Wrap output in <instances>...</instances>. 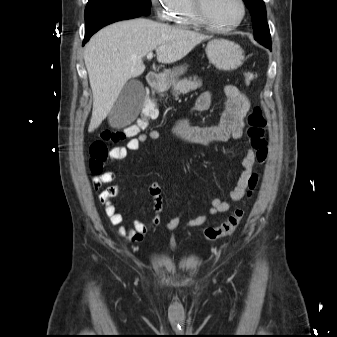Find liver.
I'll return each mask as SVG.
<instances>
[{
	"label": "liver",
	"instance_id": "6515ba94",
	"mask_svg": "<svg viewBox=\"0 0 337 337\" xmlns=\"http://www.w3.org/2000/svg\"><path fill=\"white\" fill-rule=\"evenodd\" d=\"M207 38L194 31L143 18L101 29L90 39L84 54L93 93L88 131L97 129L111 112L127 81L144 72L145 55L156 50L158 62L174 63Z\"/></svg>",
	"mask_w": 337,
	"mask_h": 337
}]
</instances>
